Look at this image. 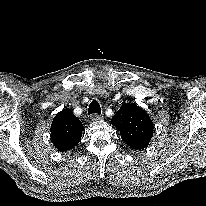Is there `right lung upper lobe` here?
Segmentation results:
<instances>
[{"label":"right lung upper lobe","instance_id":"1","mask_svg":"<svg viewBox=\"0 0 206 206\" xmlns=\"http://www.w3.org/2000/svg\"><path fill=\"white\" fill-rule=\"evenodd\" d=\"M50 131L55 148L67 151L81 140L83 125L70 110L64 109L54 117Z\"/></svg>","mask_w":206,"mask_h":206}]
</instances>
